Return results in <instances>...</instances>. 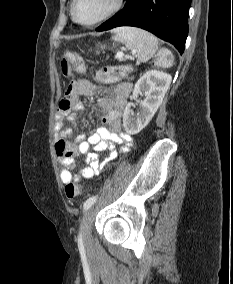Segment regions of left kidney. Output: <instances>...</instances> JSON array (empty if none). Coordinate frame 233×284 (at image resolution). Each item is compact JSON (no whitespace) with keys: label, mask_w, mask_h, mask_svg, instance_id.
I'll return each mask as SVG.
<instances>
[{"label":"left kidney","mask_w":233,"mask_h":284,"mask_svg":"<svg viewBox=\"0 0 233 284\" xmlns=\"http://www.w3.org/2000/svg\"><path fill=\"white\" fill-rule=\"evenodd\" d=\"M171 80V75L159 70H149L140 77L133 90V99L137 100L139 95H144L145 99L139 101L140 111L136 116L131 114V103L125 107L123 126L128 134L135 135L147 126L161 105Z\"/></svg>","instance_id":"obj_1"}]
</instances>
